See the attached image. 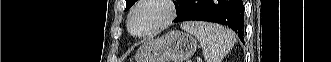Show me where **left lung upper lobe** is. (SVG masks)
Instances as JSON below:
<instances>
[{
    "label": "left lung upper lobe",
    "instance_id": "left-lung-upper-lobe-1",
    "mask_svg": "<svg viewBox=\"0 0 331 62\" xmlns=\"http://www.w3.org/2000/svg\"><path fill=\"white\" fill-rule=\"evenodd\" d=\"M126 1H127L126 10H128L137 0H126ZM186 2L187 0H176L175 6L176 8L182 9Z\"/></svg>",
    "mask_w": 331,
    "mask_h": 62
}]
</instances>
